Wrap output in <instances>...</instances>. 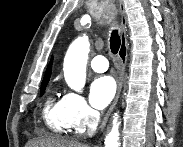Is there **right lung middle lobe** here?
Wrapping results in <instances>:
<instances>
[{"label": "right lung middle lobe", "instance_id": "right-lung-middle-lobe-1", "mask_svg": "<svg viewBox=\"0 0 183 147\" xmlns=\"http://www.w3.org/2000/svg\"><path fill=\"white\" fill-rule=\"evenodd\" d=\"M46 86H47V84H44V85L41 86V95H43Z\"/></svg>", "mask_w": 183, "mask_h": 147}]
</instances>
